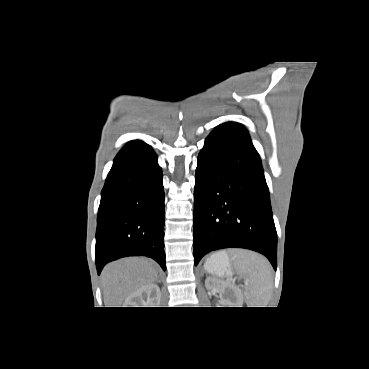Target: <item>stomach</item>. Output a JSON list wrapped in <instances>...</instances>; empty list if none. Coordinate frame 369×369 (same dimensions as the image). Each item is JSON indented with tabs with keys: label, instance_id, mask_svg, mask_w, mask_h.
Here are the masks:
<instances>
[{
	"label": "stomach",
	"instance_id": "obj_1",
	"mask_svg": "<svg viewBox=\"0 0 369 369\" xmlns=\"http://www.w3.org/2000/svg\"><path fill=\"white\" fill-rule=\"evenodd\" d=\"M207 272L223 277L233 274L230 260L224 251L217 252L208 258L204 264Z\"/></svg>",
	"mask_w": 369,
	"mask_h": 369
}]
</instances>
